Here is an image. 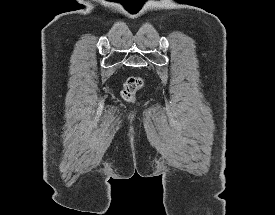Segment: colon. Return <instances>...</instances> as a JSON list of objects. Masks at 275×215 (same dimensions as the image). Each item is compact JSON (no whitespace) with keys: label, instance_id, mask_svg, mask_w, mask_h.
Segmentation results:
<instances>
[{"label":"colon","instance_id":"1","mask_svg":"<svg viewBox=\"0 0 275 215\" xmlns=\"http://www.w3.org/2000/svg\"><path fill=\"white\" fill-rule=\"evenodd\" d=\"M142 87H143V80L140 77H137V76L129 77L123 85V89L121 92L122 97L126 101H133L135 98V94L139 90H141Z\"/></svg>","mask_w":275,"mask_h":215}]
</instances>
